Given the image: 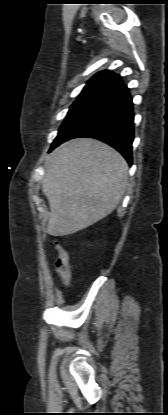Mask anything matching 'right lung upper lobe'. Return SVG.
Masks as SVG:
<instances>
[{
    "label": "right lung upper lobe",
    "instance_id": "cb5924a9",
    "mask_svg": "<svg viewBox=\"0 0 168 415\" xmlns=\"http://www.w3.org/2000/svg\"><path fill=\"white\" fill-rule=\"evenodd\" d=\"M119 81H121L119 75L111 71H102L94 75L87 82L82 93H94L99 95Z\"/></svg>",
    "mask_w": 168,
    "mask_h": 415
}]
</instances>
